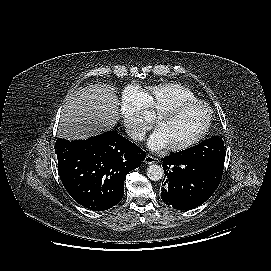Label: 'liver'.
Wrapping results in <instances>:
<instances>
[{"mask_svg":"<svg viewBox=\"0 0 271 271\" xmlns=\"http://www.w3.org/2000/svg\"><path fill=\"white\" fill-rule=\"evenodd\" d=\"M119 100L114 89L94 84L69 97L62 108L58 134L85 139L112 129L119 120Z\"/></svg>","mask_w":271,"mask_h":271,"instance_id":"obj_1","label":"liver"}]
</instances>
